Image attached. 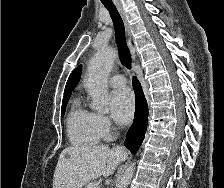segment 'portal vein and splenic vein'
I'll return each mask as SVG.
<instances>
[{
    "label": "portal vein and splenic vein",
    "mask_w": 224,
    "mask_h": 188,
    "mask_svg": "<svg viewBox=\"0 0 224 188\" xmlns=\"http://www.w3.org/2000/svg\"><path fill=\"white\" fill-rule=\"evenodd\" d=\"M90 188H96V186L95 185H92Z\"/></svg>",
    "instance_id": "obj_1"
}]
</instances>
